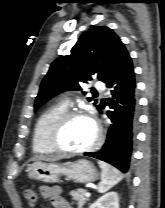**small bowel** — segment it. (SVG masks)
I'll return each instance as SVG.
<instances>
[{"label":"small bowel","mask_w":165,"mask_h":208,"mask_svg":"<svg viewBox=\"0 0 165 208\" xmlns=\"http://www.w3.org/2000/svg\"><path fill=\"white\" fill-rule=\"evenodd\" d=\"M40 193L43 198L50 200L54 208H72L62 196L59 186H42Z\"/></svg>","instance_id":"1"}]
</instances>
